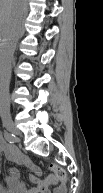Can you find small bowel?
<instances>
[{
	"label": "small bowel",
	"mask_w": 103,
	"mask_h": 193,
	"mask_svg": "<svg viewBox=\"0 0 103 193\" xmlns=\"http://www.w3.org/2000/svg\"><path fill=\"white\" fill-rule=\"evenodd\" d=\"M0 150L11 162L28 168L32 172L30 179L33 182V186H26L20 180L18 169L10 168L5 178V187L1 193H51V188L53 193H65L66 188L59 184L57 177L49 176L42 179L41 168L31 162L28 157L22 155L3 137L0 140Z\"/></svg>",
	"instance_id": "small-bowel-1"
}]
</instances>
